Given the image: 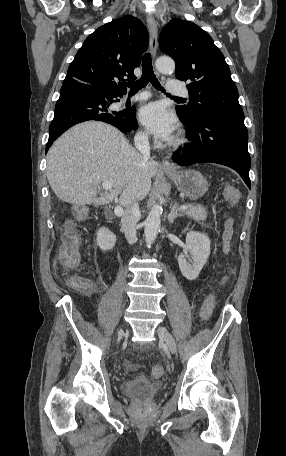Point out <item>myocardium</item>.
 I'll return each mask as SVG.
<instances>
[{
	"instance_id": "obj_1",
	"label": "myocardium",
	"mask_w": 286,
	"mask_h": 456,
	"mask_svg": "<svg viewBox=\"0 0 286 456\" xmlns=\"http://www.w3.org/2000/svg\"><path fill=\"white\" fill-rule=\"evenodd\" d=\"M184 142V140L181 138V137H177L173 142H172V146L174 147H179L180 145H182Z\"/></svg>"
}]
</instances>
